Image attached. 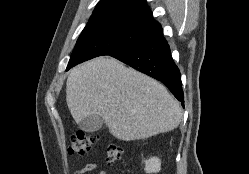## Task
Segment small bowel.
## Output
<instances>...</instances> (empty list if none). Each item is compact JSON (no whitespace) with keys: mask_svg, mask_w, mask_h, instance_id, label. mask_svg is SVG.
Here are the masks:
<instances>
[{"mask_svg":"<svg viewBox=\"0 0 249 174\" xmlns=\"http://www.w3.org/2000/svg\"><path fill=\"white\" fill-rule=\"evenodd\" d=\"M95 171L96 174H108L107 171L98 169V165L96 163H88L82 169L75 172V174H86Z\"/></svg>","mask_w":249,"mask_h":174,"instance_id":"c3829d8e","label":"small bowel"}]
</instances>
